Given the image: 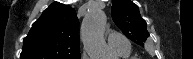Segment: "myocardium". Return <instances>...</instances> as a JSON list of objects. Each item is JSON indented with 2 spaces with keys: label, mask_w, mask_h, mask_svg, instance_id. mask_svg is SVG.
<instances>
[{
  "label": "myocardium",
  "mask_w": 193,
  "mask_h": 59,
  "mask_svg": "<svg viewBox=\"0 0 193 59\" xmlns=\"http://www.w3.org/2000/svg\"><path fill=\"white\" fill-rule=\"evenodd\" d=\"M122 59H138V58H122Z\"/></svg>",
  "instance_id": "f54148a6"
}]
</instances>
